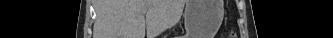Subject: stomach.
Wrapping results in <instances>:
<instances>
[{
  "label": "stomach",
  "instance_id": "obj_1",
  "mask_svg": "<svg viewBox=\"0 0 333 38\" xmlns=\"http://www.w3.org/2000/svg\"><path fill=\"white\" fill-rule=\"evenodd\" d=\"M189 8H191V7H189ZM190 22H191V14L188 12V13L186 14V24L189 25Z\"/></svg>",
  "mask_w": 333,
  "mask_h": 38
}]
</instances>
